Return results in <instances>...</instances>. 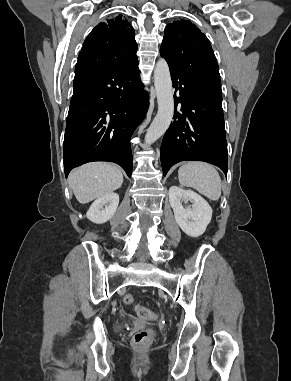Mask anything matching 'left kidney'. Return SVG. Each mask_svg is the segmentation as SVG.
Wrapping results in <instances>:
<instances>
[{
	"instance_id": "obj_1",
	"label": "left kidney",
	"mask_w": 291,
	"mask_h": 381,
	"mask_svg": "<svg viewBox=\"0 0 291 381\" xmlns=\"http://www.w3.org/2000/svg\"><path fill=\"white\" fill-rule=\"evenodd\" d=\"M183 201H190L192 208H184ZM169 202L176 223L185 234L199 237L205 232L212 218V208L203 197L192 190L172 186L169 189Z\"/></svg>"
}]
</instances>
